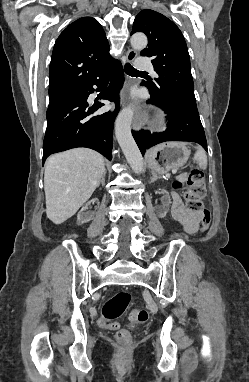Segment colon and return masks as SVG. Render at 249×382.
Returning <instances> with one entry per match:
<instances>
[{"label": "colon", "instance_id": "obj_1", "mask_svg": "<svg viewBox=\"0 0 249 382\" xmlns=\"http://www.w3.org/2000/svg\"><path fill=\"white\" fill-rule=\"evenodd\" d=\"M188 189L184 194L186 208L191 212L200 213L202 215V229L208 228L211 222V213L208 208L203 205L202 199L205 195V182L203 172L194 168L190 171L187 180ZM181 182L174 183L175 188H180ZM131 296L126 291H120L110 297L102 307V316L99 324L111 329H118L120 324L115 322L120 318L130 303ZM148 312L141 309H135L130 315V319L136 323H145L148 321ZM116 340L122 344L129 346L132 343V336L128 330L121 329L116 333Z\"/></svg>", "mask_w": 249, "mask_h": 382}]
</instances>
